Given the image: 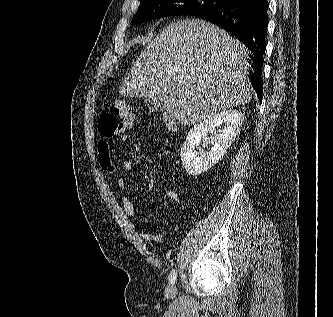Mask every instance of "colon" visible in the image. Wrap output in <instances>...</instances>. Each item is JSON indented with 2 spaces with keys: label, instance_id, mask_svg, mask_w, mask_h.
Segmentation results:
<instances>
[{
  "label": "colon",
  "instance_id": "5ec220e1",
  "mask_svg": "<svg viewBox=\"0 0 333 317\" xmlns=\"http://www.w3.org/2000/svg\"><path fill=\"white\" fill-rule=\"evenodd\" d=\"M134 124L132 109L123 102H114L101 115L98 123L99 132L105 137L123 134Z\"/></svg>",
  "mask_w": 333,
  "mask_h": 317
}]
</instances>
